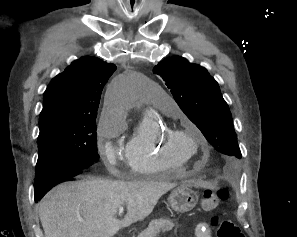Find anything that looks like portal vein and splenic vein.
I'll use <instances>...</instances> for the list:
<instances>
[{"instance_id": "portal-vein-and-splenic-vein-1", "label": "portal vein and splenic vein", "mask_w": 297, "mask_h": 237, "mask_svg": "<svg viewBox=\"0 0 297 237\" xmlns=\"http://www.w3.org/2000/svg\"><path fill=\"white\" fill-rule=\"evenodd\" d=\"M123 211H124V208H123V207H120V208H119V211H118V214H119V215L122 214Z\"/></svg>"}]
</instances>
